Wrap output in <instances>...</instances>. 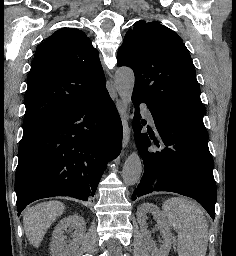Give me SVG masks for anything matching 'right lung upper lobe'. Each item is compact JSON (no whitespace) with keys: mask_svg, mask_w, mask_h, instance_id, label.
I'll use <instances>...</instances> for the list:
<instances>
[{"mask_svg":"<svg viewBox=\"0 0 236 256\" xmlns=\"http://www.w3.org/2000/svg\"><path fill=\"white\" fill-rule=\"evenodd\" d=\"M98 57L86 34L56 31L37 47L28 78L24 122L51 121L79 103L106 91Z\"/></svg>","mask_w":236,"mask_h":256,"instance_id":"cb5924a9","label":"right lung upper lobe"}]
</instances>
